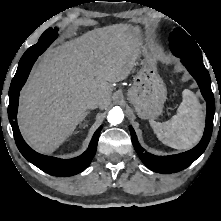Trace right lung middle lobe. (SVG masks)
<instances>
[{
    "instance_id": "dd1d6c3e",
    "label": "right lung middle lobe",
    "mask_w": 221,
    "mask_h": 221,
    "mask_svg": "<svg viewBox=\"0 0 221 221\" xmlns=\"http://www.w3.org/2000/svg\"><path fill=\"white\" fill-rule=\"evenodd\" d=\"M57 28L55 27L54 29L49 28L47 29L39 38V41L37 44L31 46L27 52H36V53H43L45 49L54 41V39L57 36Z\"/></svg>"
}]
</instances>
